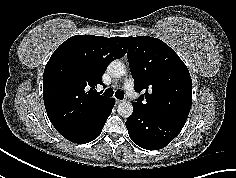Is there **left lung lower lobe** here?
I'll list each match as a JSON object with an SVG mask.
<instances>
[{
	"mask_svg": "<svg viewBox=\"0 0 236 178\" xmlns=\"http://www.w3.org/2000/svg\"><path fill=\"white\" fill-rule=\"evenodd\" d=\"M183 126V124L153 116L136 107L126 121L132 141L146 150L164 148L180 133Z\"/></svg>",
	"mask_w": 236,
	"mask_h": 178,
	"instance_id": "left-lung-lower-lobe-1",
	"label": "left lung lower lobe"
}]
</instances>
